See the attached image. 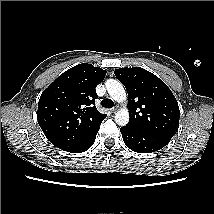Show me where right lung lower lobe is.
<instances>
[{"label": "right lung lower lobe", "instance_id": "obj_1", "mask_svg": "<svg viewBox=\"0 0 214 214\" xmlns=\"http://www.w3.org/2000/svg\"><path fill=\"white\" fill-rule=\"evenodd\" d=\"M97 132H95L84 144H82L80 147H78L76 150H74L72 152L81 153V152L88 150L93 145Z\"/></svg>", "mask_w": 214, "mask_h": 214}]
</instances>
